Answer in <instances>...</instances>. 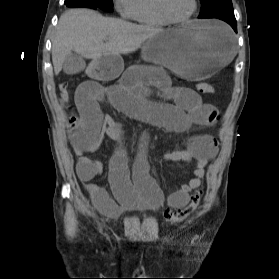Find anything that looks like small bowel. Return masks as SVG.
Listing matches in <instances>:
<instances>
[{"mask_svg":"<svg viewBox=\"0 0 279 279\" xmlns=\"http://www.w3.org/2000/svg\"><path fill=\"white\" fill-rule=\"evenodd\" d=\"M149 87L156 88L160 97L173 100L174 104L150 100ZM104 103L130 118L173 132H184L193 125H214L218 119L217 109L203 102L194 90L172 86L166 73L154 67H129L117 85L104 86L96 82H85L77 88L67 134L79 157L77 176L84 183L95 207L111 217L119 215L121 207L150 210L159 208L164 195L149 174L147 136L142 138L133 166L129 168L123 147V127L112 117L104 115ZM105 135L119 145L109 164V181L115 200L104 187L95 182L102 172V164L88 157L89 153L99 147ZM217 152L216 138L201 134L189 138L184 149L164 155L167 161H184L196 166L192 178L169 194L170 206L181 208L187 204L189 193L200 186L205 167Z\"/></svg>","mask_w":279,"mask_h":279,"instance_id":"small-bowel-1","label":"small bowel"}]
</instances>
